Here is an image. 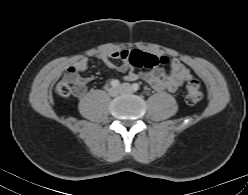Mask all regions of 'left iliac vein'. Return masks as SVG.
<instances>
[{
    "label": "left iliac vein",
    "instance_id": "obj_1",
    "mask_svg": "<svg viewBox=\"0 0 248 195\" xmlns=\"http://www.w3.org/2000/svg\"><path fill=\"white\" fill-rule=\"evenodd\" d=\"M119 89L122 93H132L133 92L132 87L127 83L120 85Z\"/></svg>",
    "mask_w": 248,
    "mask_h": 195
}]
</instances>
